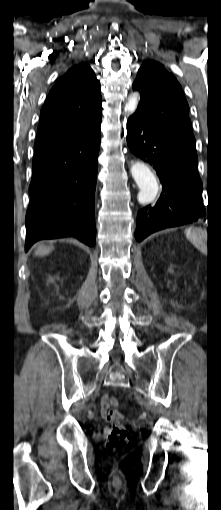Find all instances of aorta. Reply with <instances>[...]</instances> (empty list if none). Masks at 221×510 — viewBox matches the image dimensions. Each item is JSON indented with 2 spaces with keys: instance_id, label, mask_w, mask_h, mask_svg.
<instances>
[{
  "instance_id": "obj_1",
  "label": "aorta",
  "mask_w": 221,
  "mask_h": 510,
  "mask_svg": "<svg viewBox=\"0 0 221 510\" xmlns=\"http://www.w3.org/2000/svg\"><path fill=\"white\" fill-rule=\"evenodd\" d=\"M138 101L139 95L137 93H133L125 106V111L129 114L134 113L137 108ZM130 171L132 177L139 187V193L137 197L138 202L140 204H148L152 202L158 193V183L153 172L146 164L142 162L134 163L131 166Z\"/></svg>"
}]
</instances>
